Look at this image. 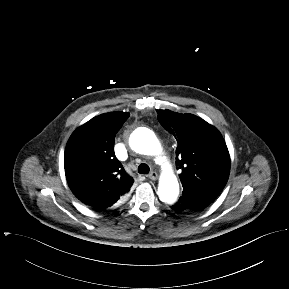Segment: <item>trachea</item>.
<instances>
[{"instance_id": "obj_1", "label": "trachea", "mask_w": 289, "mask_h": 289, "mask_svg": "<svg viewBox=\"0 0 289 289\" xmlns=\"http://www.w3.org/2000/svg\"><path fill=\"white\" fill-rule=\"evenodd\" d=\"M149 171H150V168L145 163L140 164L138 167V173H140V174H148Z\"/></svg>"}]
</instances>
